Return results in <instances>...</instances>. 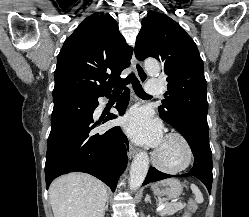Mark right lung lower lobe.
<instances>
[{"instance_id": "1", "label": "right lung lower lobe", "mask_w": 249, "mask_h": 217, "mask_svg": "<svg viewBox=\"0 0 249 217\" xmlns=\"http://www.w3.org/2000/svg\"><path fill=\"white\" fill-rule=\"evenodd\" d=\"M129 93L126 88L115 106L120 115L126 110ZM109 95L110 90L95 94L71 90L53 92L54 108L45 164L47 189L62 174L84 172L115 190L127 165L128 140L120 127L96 132L97 127L117 118L116 115L109 114L102 123V120H93L98 98Z\"/></svg>"}]
</instances>
